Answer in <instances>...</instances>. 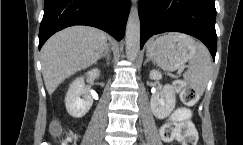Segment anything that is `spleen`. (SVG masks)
Segmentation results:
<instances>
[{"label":"spleen","mask_w":243,"mask_h":145,"mask_svg":"<svg viewBox=\"0 0 243 145\" xmlns=\"http://www.w3.org/2000/svg\"><path fill=\"white\" fill-rule=\"evenodd\" d=\"M196 54L189 60V70L183 78L194 89L197 95H202L206 89L211 74V57L207 48L195 42Z\"/></svg>","instance_id":"obj_1"}]
</instances>
